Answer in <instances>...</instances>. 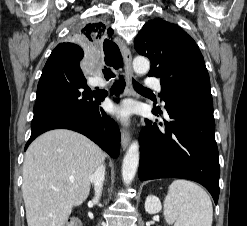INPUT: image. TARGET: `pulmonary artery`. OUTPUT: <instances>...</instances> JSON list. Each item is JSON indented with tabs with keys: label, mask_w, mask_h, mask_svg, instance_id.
Returning <instances> with one entry per match:
<instances>
[{
	"label": "pulmonary artery",
	"mask_w": 247,
	"mask_h": 226,
	"mask_svg": "<svg viewBox=\"0 0 247 226\" xmlns=\"http://www.w3.org/2000/svg\"><path fill=\"white\" fill-rule=\"evenodd\" d=\"M102 85H105L104 83ZM146 87L152 88L155 90L160 91L161 90V85L160 82L157 79L154 78H148L145 83Z\"/></svg>",
	"instance_id": "obj_1"
}]
</instances>
